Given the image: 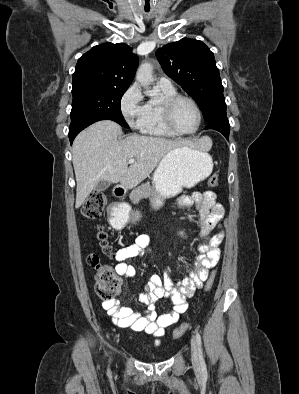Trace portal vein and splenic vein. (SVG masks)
<instances>
[{
  "label": "portal vein and splenic vein",
  "instance_id": "obj_1",
  "mask_svg": "<svg viewBox=\"0 0 299 394\" xmlns=\"http://www.w3.org/2000/svg\"><path fill=\"white\" fill-rule=\"evenodd\" d=\"M134 162H135V159H134V158H131V159L128 160V163H129V164H133Z\"/></svg>",
  "mask_w": 299,
  "mask_h": 394
}]
</instances>
